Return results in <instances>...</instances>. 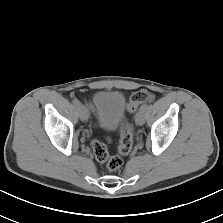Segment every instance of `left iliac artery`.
<instances>
[{
  "label": "left iliac artery",
  "mask_w": 223,
  "mask_h": 223,
  "mask_svg": "<svg viewBox=\"0 0 223 223\" xmlns=\"http://www.w3.org/2000/svg\"><path fill=\"white\" fill-rule=\"evenodd\" d=\"M147 107H148V104L145 103L140 107V110L145 111Z\"/></svg>",
  "instance_id": "1"
}]
</instances>
